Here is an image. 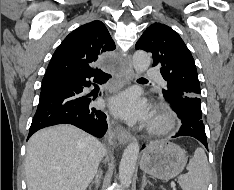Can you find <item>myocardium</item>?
<instances>
[{
  "mask_svg": "<svg viewBox=\"0 0 234 190\" xmlns=\"http://www.w3.org/2000/svg\"><path fill=\"white\" fill-rule=\"evenodd\" d=\"M176 121L173 113L164 107L158 108L148 125V132L151 134H163L175 127Z\"/></svg>",
  "mask_w": 234,
  "mask_h": 190,
  "instance_id": "obj_1",
  "label": "myocardium"
}]
</instances>
